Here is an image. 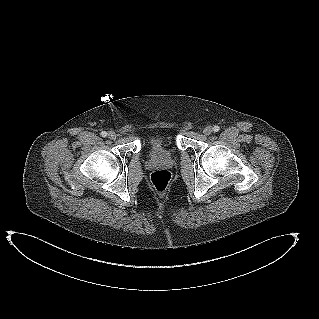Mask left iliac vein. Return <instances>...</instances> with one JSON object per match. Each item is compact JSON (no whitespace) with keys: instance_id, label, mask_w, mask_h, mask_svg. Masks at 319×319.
<instances>
[{"instance_id":"4c4485c4","label":"left iliac vein","mask_w":319,"mask_h":319,"mask_svg":"<svg viewBox=\"0 0 319 319\" xmlns=\"http://www.w3.org/2000/svg\"><path fill=\"white\" fill-rule=\"evenodd\" d=\"M213 132V128L211 126H207L204 128L203 133L205 135H210Z\"/></svg>"}]
</instances>
